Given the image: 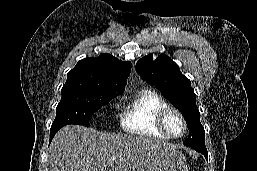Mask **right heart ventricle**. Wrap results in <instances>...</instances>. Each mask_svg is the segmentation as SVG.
Wrapping results in <instances>:
<instances>
[{
  "instance_id": "right-heart-ventricle-1",
  "label": "right heart ventricle",
  "mask_w": 257,
  "mask_h": 171,
  "mask_svg": "<svg viewBox=\"0 0 257 171\" xmlns=\"http://www.w3.org/2000/svg\"><path fill=\"white\" fill-rule=\"evenodd\" d=\"M168 106L156 91L143 89L126 104L121 116V127L128 133L169 139L157 126L159 113Z\"/></svg>"
}]
</instances>
